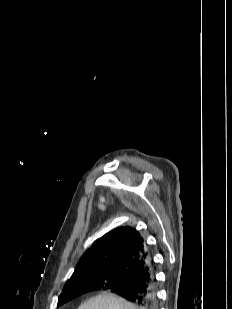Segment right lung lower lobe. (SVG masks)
<instances>
[{"label":"right lung lower lobe","instance_id":"1","mask_svg":"<svg viewBox=\"0 0 232 309\" xmlns=\"http://www.w3.org/2000/svg\"><path fill=\"white\" fill-rule=\"evenodd\" d=\"M123 274L128 276L124 283L106 280L102 286L90 288L88 291L110 289L113 293L135 303L139 309H157L156 279L151 257L140 265L128 264Z\"/></svg>","mask_w":232,"mask_h":309}]
</instances>
